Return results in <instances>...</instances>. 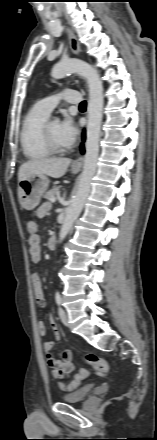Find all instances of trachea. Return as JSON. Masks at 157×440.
<instances>
[{
    "label": "trachea",
    "instance_id": "3493384b",
    "mask_svg": "<svg viewBox=\"0 0 157 440\" xmlns=\"http://www.w3.org/2000/svg\"><path fill=\"white\" fill-rule=\"evenodd\" d=\"M86 106H87L86 101H82L79 105L80 108H86Z\"/></svg>",
    "mask_w": 157,
    "mask_h": 440
}]
</instances>
